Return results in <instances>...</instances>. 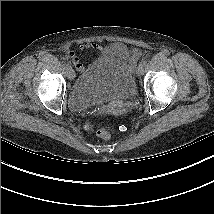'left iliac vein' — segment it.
<instances>
[{
  "mask_svg": "<svg viewBox=\"0 0 214 214\" xmlns=\"http://www.w3.org/2000/svg\"><path fill=\"white\" fill-rule=\"evenodd\" d=\"M143 72H144V65H143V64H139V66H138L137 69H136V74H137L138 76H140V75L143 74Z\"/></svg>",
  "mask_w": 214,
  "mask_h": 214,
  "instance_id": "left-iliac-vein-1",
  "label": "left iliac vein"
}]
</instances>
